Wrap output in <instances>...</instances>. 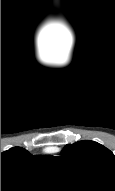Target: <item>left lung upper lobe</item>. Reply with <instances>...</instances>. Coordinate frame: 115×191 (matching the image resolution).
<instances>
[{"label":"left lung upper lobe","mask_w":115,"mask_h":191,"mask_svg":"<svg viewBox=\"0 0 115 191\" xmlns=\"http://www.w3.org/2000/svg\"><path fill=\"white\" fill-rule=\"evenodd\" d=\"M62 155L85 163L103 164L107 167L114 166L115 170L114 154L109 149L95 141L83 140L73 144H67L63 148Z\"/></svg>","instance_id":"left-lung-upper-lobe-1"}]
</instances>
